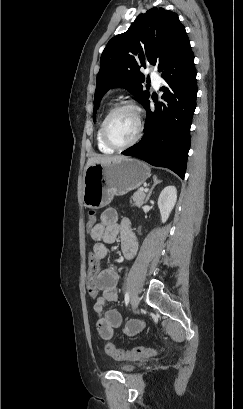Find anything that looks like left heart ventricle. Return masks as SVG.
Masks as SVG:
<instances>
[{
    "instance_id": "obj_1",
    "label": "left heart ventricle",
    "mask_w": 243,
    "mask_h": 409,
    "mask_svg": "<svg viewBox=\"0 0 243 409\" xmlns=\"http://www.w3.org/2000/svg\"><path fill=\"white\" fill-rule=\"evenodd\" d=\"M137 132V121L133 111L123 109L109 121L108 134L112 141L124 144L130 141Z\"/></svg>"
}]
</instances>
